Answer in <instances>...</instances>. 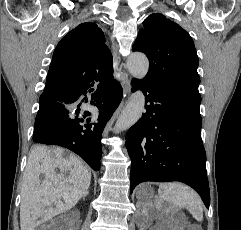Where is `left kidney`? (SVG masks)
I'll return each instance as SVG.
<instances>
[{
	"label": "left kidney",
	"instance_id": "5707ae66",
	"mask_svg": "<svg viewBox=\"0 0 241 230\" xmlns=\"http://www.w3.org/2000/svg\"><path fill=\"white\" fill-rule=\"evenodd\" d=\"M152 219H153L152 217H148V218H147V221H152ZM168 227L170 228L171 226H168ZM152 230H161V227H159V226H158V227H157V226H154V227L152 228Z\"/></svg>",
	"mask_w": 241,
	"mask_h": 230
}]
</instances>
